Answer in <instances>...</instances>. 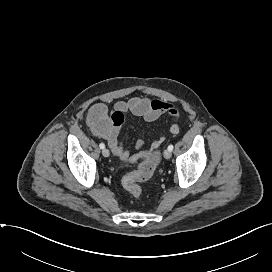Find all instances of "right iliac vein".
Returning <instances> with one entry per match:
<instances>
[{
    "mask_svg": "<svg viewBox=\"0 0 272 272\" xmlns=\"http://www.w3.org/2000/svg\"><path fill=\"white\" fill-rule=\"evenodd\" d=\"M109 154H110V152H109V150H108L107 148H104V149L102 150V155H103L104 157H108Z\"/></svg>",
    "mask_w": 272,
    "mask_h": 272,
    "instance_id": "1",
    "label": "right iliac vein"
}]
</instances>
